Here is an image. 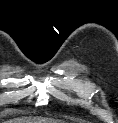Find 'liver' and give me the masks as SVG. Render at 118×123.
Listing matches in <instances>:
<instances>
[{
  "label": "liver",
  "mask_w": 118,
  "mask_h": 123,
  "mask_svg": "<svg viewBox=\"0 0 118 123\" xmlns=\"http://www.w3.org/2000/svg\"><path fill=\"white\" fill-rule=\"evenodd\" d=\"M5 123H64V122L47 118L24 117L12 119Z\"/></svg>",
  "instance_id": "1"
}]
</instances>
